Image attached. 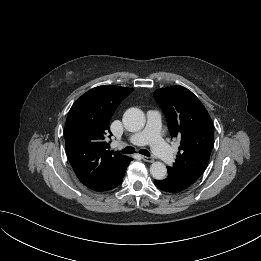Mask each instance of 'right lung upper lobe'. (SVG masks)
I'll return each instance as SVG.
<instances>
[{
	"label": "right lung upper lobe",
	"instance_id": "right-lung-upper-lobe-1",
	"mask_svg": "<svg viewBox=\"0 0 261 261\" xmlns=\"http://www.w3.org/2000/svg\"><path fill=\"white\" fill-rule=\"evenodd\" d=\"M133 89L104 85L82 95L71 107L64 137L68 159L78 179L89 189L97 190L114 181L131 158L110 151L105 142L110 119L120 102Z\"/></svg>",
	"mask_w": 261,
	"mask_h": 261
}]
</instances>
